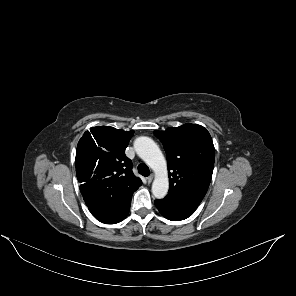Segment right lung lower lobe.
<instances>
[{
  "instance_id": "obj_1",
  "label": "right lung lower lobe",
  "mask_w": 296,
  "mask_h": 296,
  "mask_svg": "<svg viewBox=\"0 0 296 296\" xmlns=\"http://www.w3.org/2000/svg\"><path fill=\"white\" fill-rule=\"evenodd\" d=\"M132 194L111 198L85 197L84 201L97 220L106 224H115L128 215Z\"/></svg>"
}]
</instances>
